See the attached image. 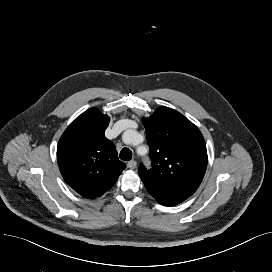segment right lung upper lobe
Segmentation results:
<instances>
[{"mask_svg": "<svg viewBox=\"0 0 272 272\" xmlns=\"http://www.w3.org/2000/svg\"><path fill=\"white\" fill-rule=\"evenodd\" d=\"M110 118L90 108L76 118L57 147L60 172L83 197L93 199L109 190L125 169L115 145L105 137Z\"/></svg>", "mask_w": 272, "mask_h": 272, "instance_id": "obj_1", "label": "right lung upper lobe"}]
</instances>
